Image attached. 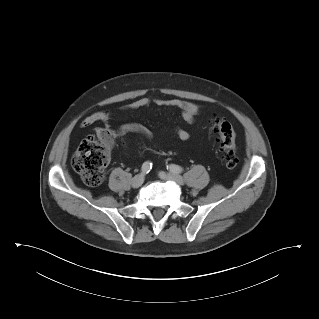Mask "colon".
I'll return each mask as SVG.
<instances>
[{
  "mask_svg": "<svg viewBox=\"0 0 319 319\" xmlns=\"http://www.w3.org/2000/svg\"><path fill=\"white\" fill-rule=\"evenodd\" d=\"M211 130L216 134L220 153L228 168L237 165L236 134L232 124L222 117H214ZM111 138L90 136L75 152L72 165L89 186H98L105 179L110 157Z\"/></svg>",
  "mask_w": 319,
  "mask_h": 319,
  "instance_id": "1",
  "label": "colon"
}]
</instances>
